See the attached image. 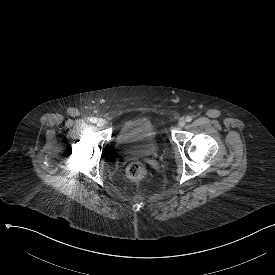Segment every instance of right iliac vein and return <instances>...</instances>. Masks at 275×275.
<instances>
[{"label":"right iliac vein","instance_id":"right-iliac-vein-1","mask_svg":"<svg viewBox=\"0 0 275 275\" xmlns=\"http://www.w3.org/2000/svg\"><path fill=\"white\" fill-rule=\"evenodd\" d=\"M97 125L103 126L104 125V120L103 119H99L98 122H97Z\"/></svg>","mask_w":275,"mask_h":275}]
</instances>
